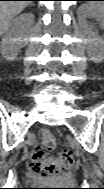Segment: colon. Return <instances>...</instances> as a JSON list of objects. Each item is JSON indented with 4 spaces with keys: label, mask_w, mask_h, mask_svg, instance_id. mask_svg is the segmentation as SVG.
Returning a JSON list of instances; mask_svg holds the SVG:
<instances>
[{
    "label": "colon",
    "mask_w": 104,
    "mask_h": 189,
    "mask_svg": "<svg viewBox=\"0 0 104 189\" xmlns=\"http://www.w3.org/2000/svg\"><path fill=\"white\" fill-rule=\"evenodd\" d=\"M56 139L49 132L44 131L40 143L34 147L31 153V169L47 178L67 171L74 162L70 151H64L57 158H52L49 153L56 148Z\"/></svg>",
    "instance_id": "5ec220e1"
}]
</instances>
